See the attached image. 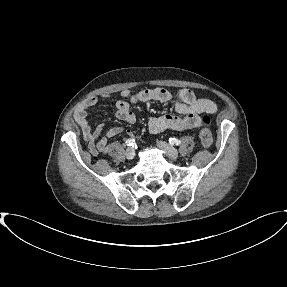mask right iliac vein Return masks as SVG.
Segmentation results:
<instances>
[{
	"label": "right iliac vein",
	"instance_id": "right-iliac-vein-1",
	"mask_svg": "<svg viewBox=\"0 0 287 287\" xmlns=\"http://www.w3.org/2000/svg\"><path fill=\"white\" fill-rule=\"evenodd\" d=\"M125 156L128 160H132L135 157V150L133 148H128L125 152Z\"/></svg>",
	"mask_w": 287,
	"mask_h": 287
}]
</instances>
